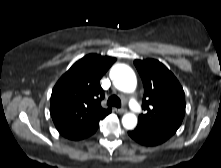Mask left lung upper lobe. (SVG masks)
I'll use <instances>...</instances> for the list:
<instances>
[{
  "label": "left lung upper lobe",
  "mask_w": 221,
  "mask_h": 168,
  "mask_svg": "<svg viewBox=\"0 0 221 168\" xmlns=\"http://www.w3.org/2000/svg\"><path fill=\"white\" fill-rule=\"evenodd\" d=\"M134 64L144 86L145 113L139 115L138 126L170 138L185 115L184 91L173 73L159 61L135 60Z\"/></svg>",
  "instance_id": "5c2ea615"
}]
</instances>
